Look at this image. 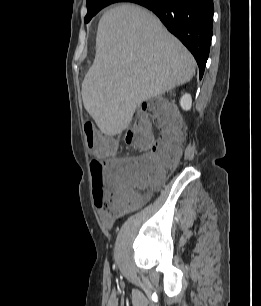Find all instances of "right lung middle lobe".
I'll list each match as a JSON object with an SVG mask.
<instances>
[{"label": "right lung middle lobe", "mask_w": 261, "mask_h": 306, "mask_svg": "<svg viewBox=\"0 0 261 306\" xmlns=\"http://www.w3.org/2000/svg\"><path fill=\"white\" fill-rule=\"evenodd\" d=\"M115 0H88L87 1V15L85 16V22L88 23L93 16H95L102 8L116 3Z\"/></svg>", "instance_id": "obj_1"}]
</instances>
